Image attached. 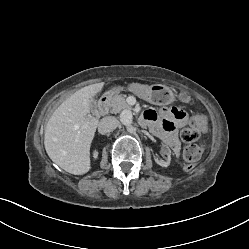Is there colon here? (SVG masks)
<instances>
[{
	"instance_id": "1",
	"label": "colon",
	"mask_w": 249,
	"mask_h": 249,
	"mask_svg": "<svg viewBox=\"0 0 249 249\" xmlns=\"http://www.w3.org/2000/svg\"><path fill=\"white\" fill-rule=\"evenodd\" d=\"M178 99L181 103H187L190 97L187 93L181 92ZM208 128V118L204 114H194L190 118L189 126L181 131L180 137L187 144L184 149V158L188 163H194L201 158L203 147L196 143V140L201 133L207 132Z\"/></svg>"
}]
</instances>
